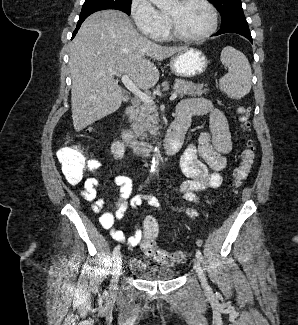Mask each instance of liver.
I'll list each match as a JSON object with an SVG mask.
<instances>
[{
  "label": "liver",
  "instance_id": "liver-1",
  "mask_svg": "<svg viewBox=\"0 0 298 325\" xmlns=\"http://www.w3.org/2000/svg\"><path fill=\"white\" fill-rule=\"evenodd\" d=\"M187 46H162L139 34L121 10H98L82 22L70 44L71 108L75 130L118 110L123 90L115 72L128 74L139 88H152L164 60ZM152 58V60H151Z\"/></svg>",
  "mask_w": 298,
  "mask_h": 325
}]
</instances>
